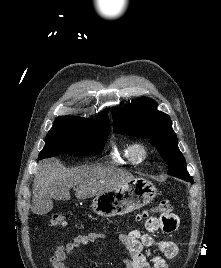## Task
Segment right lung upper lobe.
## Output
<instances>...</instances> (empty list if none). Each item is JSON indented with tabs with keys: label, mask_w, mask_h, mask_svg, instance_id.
Here are the masks:
<instances>
[{
	"label": "right lung upper lobe",
	"mask_w": 221,
	"mask_h": 268,
	"mask_svg": "<svg viewBox=\"0 0 221 268\" xmlns=\"http://www.w3.org/2000/svg\"><path fill=\"white\" fill-rule=\"evenodd\" d=\"M107 113H108V110H105L104 112L100 113L99 117H97L96 119H90V120L85 119V118H81V117H74V118H78V119H81V120H84V121H87L89 123H93L96 125L110 127L109 118L107 116ZM71 117H73V116H71Z\"/></svg>",
	"instance_id": "cb5924a9"
}]
</instances>
